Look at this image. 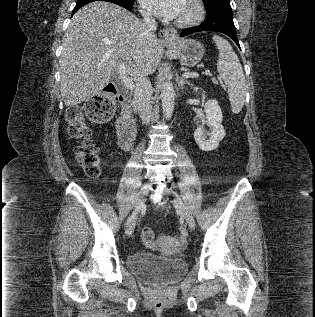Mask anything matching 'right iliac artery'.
<instances>
[{
  "label": "right iliac artery",
  "mask_w": 315,
  "mask_h": 317,
  "mask_svg": "<svg viewBox=\"0 0 315 317\" xmlns=\"http://www.w3.org/2000/svg\"><path fill=\"white\" fill-rule=\"evenodd\" d=\"M136 213L134 212L127 220V224L135 217Z\"/></svg>",
  "instance_id": "82829eb1"
}]
</instances>
